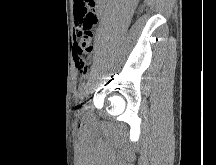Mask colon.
I'll list each match as a JSON object with an SVG mask.
<instances>
[{
  "label": "colon",
  "instance_id": "obj_1",
  "mask_svg": "<svg viewBox=\"0 0 216 165\" xmlns=\"http://www.w3.org/2000/svg\"><path fill=\"white\" fill-rule=\"evenodd\" d=\"M96 25V17L90 11L85 13L84 18L80 21L79 26L75 28L76 43L74 47V57L76 67L81 72L85 71L88 66V58L92 53V38Z\"/></svg>",
  "mask_w": 216,
  "mask_h": 165
}]
</instances>
